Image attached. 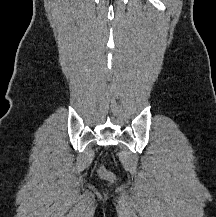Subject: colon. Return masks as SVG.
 Masks as SVG:
<instances>
[{
  "label": "colon",
  "mask_w": 216,
  "mask_h": 217,
  "mask_svg": "<svg viewBox=\"0 0 216 217\" xmlns=\"http://www.w3.org/2000/svg\"><path fill=\"white\" fill-rule=\"evenodd\" d=\"M98 175L101 179L111 181L113 180V175L106 168L101 167L98 169Z\"/></svg>",
  "instance_id": "colon-1"
}]
</instances>
